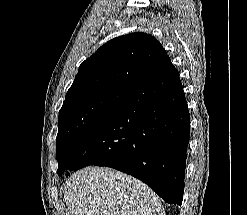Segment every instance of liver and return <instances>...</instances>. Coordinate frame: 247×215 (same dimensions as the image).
Listing matches in <instances>:
<instances>
[{
    "instance_id": "6515ba94",
    "label": "liver",
    "mask_w": 247,
    "mask_h": 215,
    "mask_svg": "<svg viewBox=\"0 0 247 215\" xmlns=\"http://www.w3.org/2000/svg\"><path fill=\"white\" fill-rule=\"evenodd\" d=\"M64 200L69 215H165L146 184L110 168L87 167L73 174Z\"/></svg>"
}]
</instances>
